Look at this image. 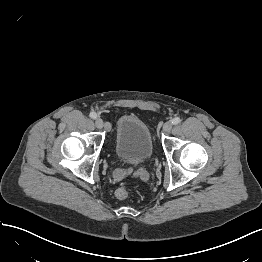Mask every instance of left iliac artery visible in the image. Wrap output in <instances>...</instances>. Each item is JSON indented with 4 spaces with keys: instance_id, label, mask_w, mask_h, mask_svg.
<instances>
[{
    "instance_id": "44dca946",
    "label": "left iliac artery",
    "mask_w": 262,
    "mask_h": 262,
    "mask_svg": "<svg viewBox=\"0 0 262 262\" xmlns=\"http://www.w3.org/2000/svg\"><path fill=\"white\" fill-rule=\"evenodd\" d=\"M181 122V119L179 117H175L174 119L171 120V123L173 125H177Z\"/></svg>"
}]
</instances>
